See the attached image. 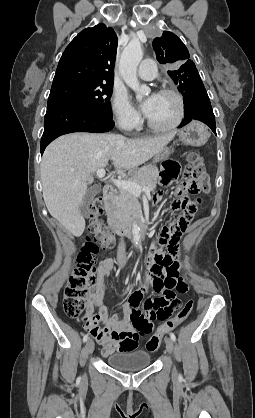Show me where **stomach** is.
<instances>
[{"label":"stomach","mask_w":255,"mask_h":418,"mask_svg":"<svg viewBox=\"0 0 255 418\" xmlns=\"http://www.w3.org/2000/svg\"><path fill=\"white\" fill-rule=\"evenodd\" d=\"M208 137H209V132L207 128L203 124L199 122H195V121L190 123L186 127L182 128L179 131L180 140L187 145H192V146L204 145ZM170 154H171V150L166 148L155 156L154 162H159L164 159H167Z\"/></svg>","instance_id":"obj_1"}]
</instances>
